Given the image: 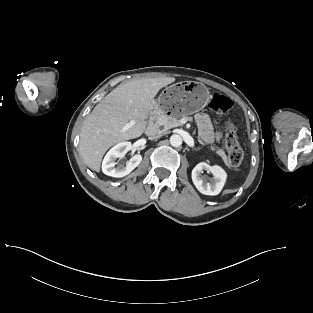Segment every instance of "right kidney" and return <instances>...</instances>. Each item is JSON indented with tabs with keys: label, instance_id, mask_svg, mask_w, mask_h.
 Instances as JSON below:
<instances>
[{
	"label": "right kidney",
	"instance_id": "1",
	"mask_svg": "<svg viewBox=\"0 0 313 313\" xmlns=\"http://www.w3.org/2000/svg\"><path fill=\"white\" fill-rule=\"evenodd\" d=\"M130 148L131 142H121L111 148L103 159V173L111 177L121 178L133 171L142 161V156L140 154L133 155L126 165L119 164L115 167V160L124 156Z\"/></svg>",
	"mask_w": 313,
	"mask_h": 313
}]
</instances>
